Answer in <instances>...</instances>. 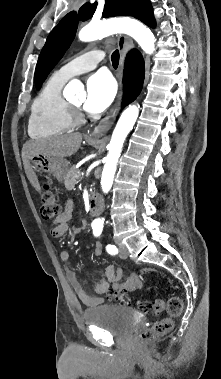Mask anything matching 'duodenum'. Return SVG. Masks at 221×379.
Returning a JSON list of instances; mask_svg holds the SVG:
<instances>
[{
  "instance_id": "duodenum-1",
  "label": "duodenum",
  "mask_w": 221,
  "mask_h": 379,
  "mask_svg": "<svg viewBox=\"0 0 221 379\" xmlns=\"http://www.w3.org/2000/svg\"><path fill=\"white\" fill-rule=\"evenodd\" d=\"M100 207H101L100 199L96 196L92 197L89 204V215L91 217L96 216L100 211Z\"/></svg>"
}]
</instances>
